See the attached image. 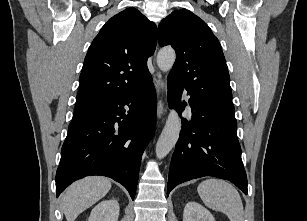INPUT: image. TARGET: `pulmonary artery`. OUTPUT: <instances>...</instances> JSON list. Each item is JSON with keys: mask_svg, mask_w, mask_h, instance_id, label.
Masks as SVG:
<instances>
[{"mask_svg": "<svg viewBox=\"0 0 307 221\" xmlns=\"http://www.w3.org/2000/svg\"><path fill=\"white\" fill-rule=\"evenodd\" d=\"M184 95H185V98L188 100L189 99V96L187 94V91H184Z\"/></svg>", "mask_w": 307, "mask_h": 221, "instance_id": "pulmonary-artery-1", "label": "pulmonary artery"}]
</instances>
